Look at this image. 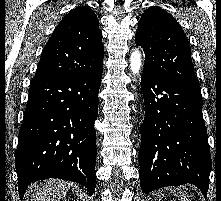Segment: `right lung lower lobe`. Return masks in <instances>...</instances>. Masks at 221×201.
<instances>
[{
    "instance_id": "98d812e1",
    "label": "right lung lower lobe",
    "mask_w": 221,
    "mask_h": 201,
    "mask_svg": "<svg viewBox=\"0 0 221 201\" xmlns=\"http://www.w3.org/2000/svg\"><path fill=\"white\" fill-rule=\"evenodd\" d=\"M101 78L102 69L32 79L15 155L21 199L31 182L49 177L80 183L94 193Z\"/></svg>"
}]
</instances>
